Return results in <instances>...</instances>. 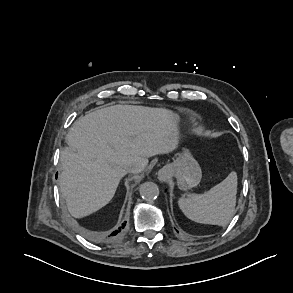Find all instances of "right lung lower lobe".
I'll list each match as a JSON object with an SVG mask.
<instances>
[{"mask_svg": "<svg viewBox=\"0 0 293 293\" xmlns=\"http://www.w3.org/2000/svg\"><path fill=\"white\" fill-rule=\"evenodd\" d=\"M125 225H126V222L123 223L122 226L119 227L117 230H115L114 232H112V233L110 234L111 239H115V238L117 237V235H119V233H120V232L122 231V229L125 227Z\"/></svg>", "mask_w": 293, "mask_h": 293, "instance_id": "1", "label": "right lung lower lobe"}]
</instances>
